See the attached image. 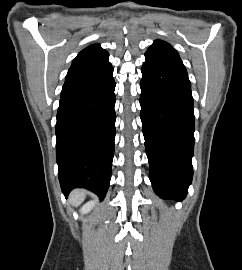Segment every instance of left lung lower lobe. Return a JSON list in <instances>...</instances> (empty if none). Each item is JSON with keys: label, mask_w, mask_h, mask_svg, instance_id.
I'll list each match as a JSON object with an SVG mask.
<instances>
[{"label": "left lung lower lobe", "mask_w": 242, "mask_h": 270, "mask_svg": "<svg viewBox=\"0 0 242 270\" xmlns=\"http://www.w3.org/2000/svg\"><path fill=\"white\" fill-rule=\"evenodd\" d=\"M140 83L141 121L150 181L163 199L183 200L192 182L194 113L183 63L148 59Z\"/></svg>", "instance_id": "0a47b994"}]
</instances>
